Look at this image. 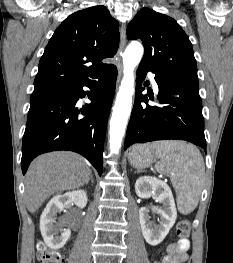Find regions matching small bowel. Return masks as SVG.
Returning a JSON list of instances; mask_svg holds the SVG:
<instances>
[{
    "label": "small bowel",
    "mask_w": 233,
    "mask_h": 263,
    "mask_svg": "<svg viewBox=\"0 0 233 263\" xmlns=\"http://www.w3.org/2000/svg\"><path fill=\"white\" fill-rule=\"evenodd\" d=\"M190 249V241L179 239L167 246L166 254L160 261L154 263H184L188 259V251Z\"/></svg>",
    "instance_id": "1"
}]
</instances>
